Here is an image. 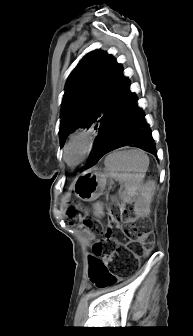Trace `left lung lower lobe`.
<instances>
[{
	"mask_svg": "<svg viewBox=\"0 0 193 336\" xmlns=\"http://www.w3.org/2000/svg\"><path fill=\"white\" fill-rule=\"evenodd\" d=\"M129 86L126 78L116 103L98 128L94 150L85 168L95 165L105 154L128 145L157 156L149 125Z\"/></svg>",
	"mask_w": 193,
	"mask_h": 336,
	"instance_id": "obj_1",
	"label": "left lung lower lobe"
}]
</instances>
